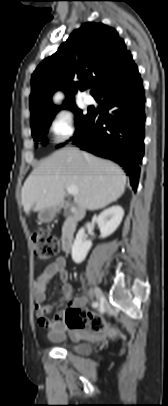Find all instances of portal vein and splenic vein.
Segmentation results:
<instances>
[{
	"mask_svg": "<svg viewBox=\"0 0 168 406\" xmlns=\"http://www.w3.org/2000/svg\"><path fill=\"white\" fill-rule=\"evenodd\" d=\"M66 189H67V192L69 194H71V195H77L78 194V188L76 186H74V185L69 186Z\"/></svg>",
	"mask_w": 168,
	"mask_h": 406,
	"instance_id": "obj_1",
	"label": "portal vein and splenic vein"
}]
</instances>
